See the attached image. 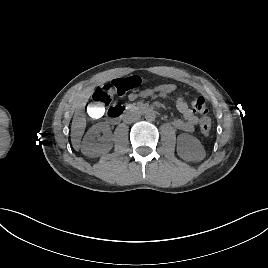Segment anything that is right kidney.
<instances>
[{
  "instance_id": "right-kidney-1",
  "label": "right kidney",
  "mask_w": 268,
  "mask_h": 268,
  "mask_svg": "<svg viewBox=\"0 0 268 268\" xmlns=\"http://www.w3.org/2000/svg\"><path fill=\"white\" fill-rule=\"evenodd\" d=\"M101 132L104 135L98 139V142L97 138ZM112 146L109 126L105 123H97L85 134L81 143V152L88 157L94 158L109 152Z\"/></svg>"
}]
</instances>
